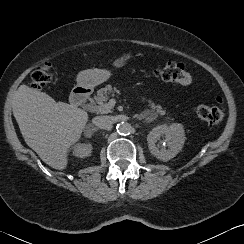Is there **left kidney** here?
Listing matches in <instances>:
<instances>
[{"mask_svg":"<svg viewBox=\"0 0 244 244\" xmlns=\"http://www.w3.org/2000/svg\"><path fill=\"white\" fill-rule=\"evenodd\" d=\"M161 136L165 137L167 149L157 145L161 142ZM184 127L180 123L160 125L153 128L147 135L148 148L152 155L166 162L174 158L183 148L185 143Z\"/></svg>","mask_w":244,"mask_h":244,"instance_id":"5707ae66","label":"left kidney"}]
</instances>
